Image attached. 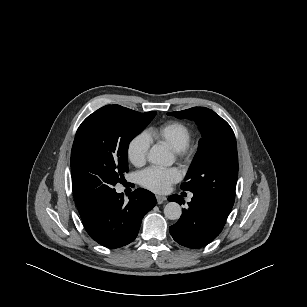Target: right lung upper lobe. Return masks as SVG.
Here are the masks:
<instances>
[{
	"mask_svg": "<svg viewBox=\"0 0 307 307\" xmlns=\"http://www.w3.org/2000/svg\"><path fill=\"white\" fill-rule=\"evenodd\" d=\"M91 206H77L80 216L83 215Z\"/></svg>",
	"mask_w": 307,
	"mask_h": 307,
	"instance_id": "cb5924a9",
	"label": "right lung upper lobe"
}]
</instances>
